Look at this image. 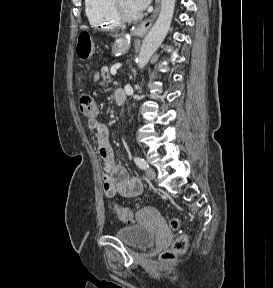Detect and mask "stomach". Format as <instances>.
Wrapping results in <instances>:
<instances>
[{"label": "stomach", "mask_w": 273, "mask_h": 288, "mask_svg": "<svg viewBox=\"0 0 273 288\" xmlns=\"http://www.w3.org/2000/svg\"><path fill=\"white\" fill-rule=\"evenodd\" d=\"M129 47V38H127L126 36L120 37L116 39V41L112 45V54L121 55L125 53L129 49ZM75 52L78 58H80L81 60L90 58L94 53L93 38L88 34H80L77 39Z\"/></svg>", "instance_id": "1"}]
</instances>
